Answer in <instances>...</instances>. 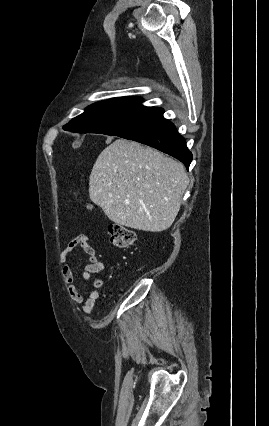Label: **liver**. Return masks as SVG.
<instances>
[{
	"label": "liver",
	"instance_id": "1",
	"mask_svg": "<svg viewBox=\"0 0 269 426\" xmlns=\"http://www.w3.org/2000/svg\"><path fill=\"white\" fill-rule=\"evenodd\" d=\"M188 183L179 161L138 142L117 139L92 168L89 196L115 224L162 232L174 222Z\"/></svg>",
	"mask_w": 269,
	"mask_h": 426
}]
</instances>
